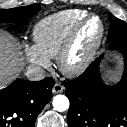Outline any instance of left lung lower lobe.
Masks as SVG:
<instances>
[{"label":"left lung lower lobe","mask_w":127,"mask_h":127,"mask_svg":"<svg viewBox=\"0 0 127 127\" xmlns=\"http://www.w3.org/2000/svg\"><path fill=\"white\" fill-rule=\"evenodd\" d=\"M124 56L121 81L107 87L100 75L103 55L76 79L65 84L69 98V127H127V39L110 44Z\"/></svg>","instance_id":"left-lung-lower-lobe-1"}]
</instances>
